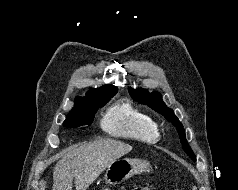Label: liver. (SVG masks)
Wrapping results in <instances>:
<instances>
[{"instance_id":"1","label":"liver","mask_w":238,"mask_h":190,"mask_svg":"<svg viewBox=\"0 0 238 190\" xmlns=\"http://www.w3.org/2000/svg\"><path fill=\"white\" fill-rule=\"evenodd\" d=\"M132 146L111 138L72 146L65 150L53 171V190H86L113 162Z\"/></svg>"}]
</instances>
